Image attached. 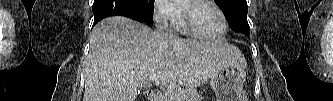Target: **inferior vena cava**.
I'll return each instance as SVG.
<instances>
[{
    "label": "inferior vena cava",
    "mask_w": 333,
    "mask_h": 101,
    "mask_svg": "<svg viewBox=\"0 0 333 101\" xmlns=\"http://www.w3.org/2000/svg\"><path fill=\"white\" fill-rule=\"evenodd\" d=\"M168 27L167 23H164V25L161 26L162 29H166Z\"/></svg>",
    "instance_id": "602c4592"
}]
</instances>
